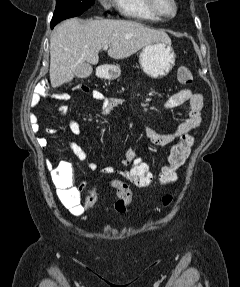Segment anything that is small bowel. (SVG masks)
<instances>
[{
  "label": "small bowel",
  "mask_w": 240,
  "mask_h": 287,
  "mask_svg": "<svg viewBox=\"0 0 240 287\" xmlns=\"http://www.w3.org/2000/svg\"><path fill=\"white\" fill-rule=\"evenodd\" d=\"M82 91L90 93L91 96L101 103V114L108 116L118 106L122 105L124 100L121 98H112L105 96L99 90L90 91L88 87L83 86ZM56 100L68 101L71 97L67 93H53L51 95ZM41 96L38 93L33 94L31 98V106L35 107L40 102ZM204 107V97L202 94L193 93L189 89H182L171 95L164 103V108L169 110L180 109L181 116L187 115L185 120L179 121L174 130L170 132H158L152 126L146 127V136L150 142L157 147H165L172 143L177 137H180L186 133L194 132L201 124L202 117L201 112ZM67 106L59 105L55 108V111L67 116ZM30 122L32 123V129L34 132L39 130L38 117L35 113H30ZM67 124L71 132L75 135L81 134V127L78 122L73 118L67 119ZM48 134H57L59 131L52 127L45 128ZM38 143L41 147L47 145V140L43 137L38 139ZM68 146L71 152L81 161H86L89 158L87 151H85L78 143L68 141ZM137 156V153L131 149L126 148L124 150V156L121 160L123 169H115L113 166H108L99 169V166L95 162H89L88 168L91 171H98L101 174L109 175L116 173L121 178H126V170L130 162ZM60 198L63 204L69 209L74 216H82L84 213V207L80 202V192L76 189L71 194H62L60 192Z\"/></svg>",
  "instance_id": "c3829d8e"
}]
</instances>
